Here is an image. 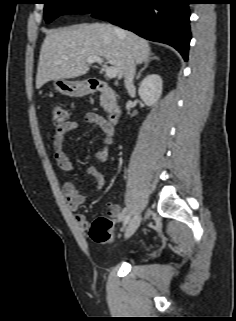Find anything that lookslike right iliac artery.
<instances>
[{
    "label": "right iliac artery",
    "mask_w": 236,
    "mask_h": 321,
    "mask_svg": "<svg viewBox=\"0 0 236 321\" xmlns=\"http://www.w3.org/2000/svg\"><path fill=\"white\" fill-rule=\"evenodd\" d=\"M129 218H130L129 215H126V216L124 215V220H123V224H124V225H126V224L128 223Z\"/></svg>",
    "instance_id": "right-iliac-artery-1"
}]
</instances>
